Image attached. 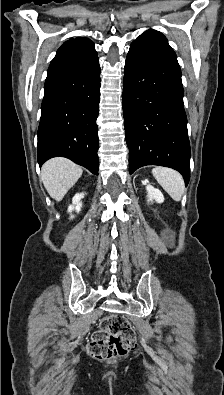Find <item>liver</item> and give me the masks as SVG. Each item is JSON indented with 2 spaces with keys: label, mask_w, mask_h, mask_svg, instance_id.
<instances>
[{
  "label": "liver",
  "mask_w": 224,
  "mask_h": 395,
  "mask_svg": "<svg viewBox=\"0 0 224 395\" xmlns=\"http://www.w3.org/2000/svg\"><path fill=\"white\" fill-rule=\"evenodd\" d=\"M82 168L69 159L57 157L48 160L41 169V179L50 197L61 201L68 190L78 181Z\"/></svg>",
  "instance_id": "obj_1"
}]
</instances>
